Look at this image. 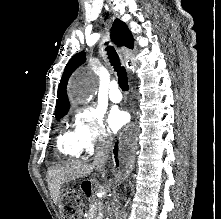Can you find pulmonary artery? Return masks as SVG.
Masks as SVG:
<instances>
[{
    "instance_id": "1",
    "label": "pulmonary artery",
    "mask_w": 221,
    "mask_h": 219,
    "mask_svg": "<svg viewBox=\"0 0 221 219\" xmlns=\"http://www.w3.org/2000/svg\"><path fill=\"white\" fill-rule=\"evenodd\" d=\"M109 99L114 103H119L122 100V93L117 81H112L109 85Z\"/></svg>"
}]
</instances>
